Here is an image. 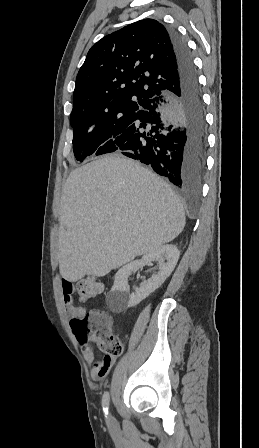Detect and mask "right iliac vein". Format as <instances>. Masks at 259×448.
<instances>
[{
	"label": "right iliac vein",
	"instance_id": "obj_1",
	"mask_svg": "<svg viewBox=\"0 0 259 448\" xmlns=\"http://www.w3.org/2000/svg\"><path fill=\"white\" fill-rule=\"evenodd\" d=\"M109 422H110V423H113V422H114L113 417H112L111 415H109Z\"/></svg>",
	"mask_w": 259,
	"mask_h": 448
}]
</instances>
